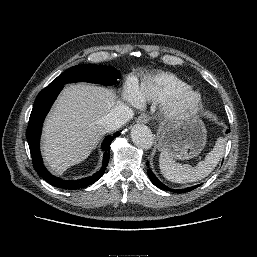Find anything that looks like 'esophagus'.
Wrapping results in <instances>:
<instances>
[{
    "label": "esophagus",
    "instance_id": "obj_1",
    "mask_svg": "<svg viewBox=\"0 0 257 257\" xmlns=\"http://www.w3.org/2000/svg\"><path fill=\"white\" fill-rule=\"evenodd\" d=\"M150 121V117L147 114H141L138 119L137 122L141 123V124H146Z\"/></svg>",
    "mask_w": 257,
    "mask_h": 257
}]
</instances>
